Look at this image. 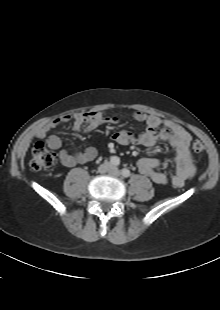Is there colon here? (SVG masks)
Returning a JSON list of instances; mask_svg holds the SVG:
<instances>
[{"instance_id": "5ec220e1", "label": "colon", "mask_w": 220, "mask_h": 310, "mask_svg": "<svg viewBox=\"0 0 220 310\" xmlns=\"http://www.w3.org/2000/svg\"><path fill=\"white\" fill-rule=\"evenodd\" d=\"M191 150L195 154H202L204 152V145L195 140L191 144ZM57 162V155L48 149L46 145L39 141L36 142L31 150L30 167L33 170H43L52 167Z\"/></svg>"}]
</instances>
